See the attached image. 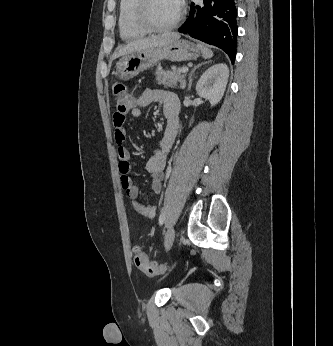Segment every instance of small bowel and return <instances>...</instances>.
Here are the masks:
<instances>
[{"mask_svg":"<svg viewBox=\"0 0 333 346\" xmlns=\"http://www.w3.org/2000/svg\"><path fill=\"white\" fill-rule=\"evenodd\" d=\"M151 103H158L161 105L163 115L167 122L166 130L159 143L158 149L146 163V170L151 175V189L155 194H159L162 191L166 154L179 131V99L176 93L170 90L148 88L135 99V106L130 111L131 119L139 118L141 114L140 108L146 107ZM113 124L115 127L116 140L121 144L127 137V131L124 127V118L115 116L113 118ZM117 158L119 161V172L121 174V185L127 196L131 199L133 210L145 218H154L156 215V207L145 205L138 200L139 188L129 176L131 171V154L129 150L120 146L117 150Z\"/></svg>","mask_w":333,"mask_h":346,"instance_id":"1","label":"small bowel"}]
</instances>
